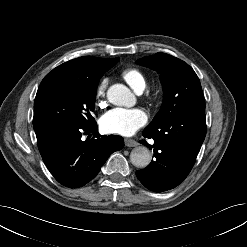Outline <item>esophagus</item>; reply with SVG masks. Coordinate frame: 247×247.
<instances>
[{
  "instance_id": "obj_1",
  "label": "esophagus",
  "mask_w": 247,
  "mask_h": 247,
  "mask_svg": "<svg viewBox=\"0 0 247 247\" xmlns=\"http://www.w3.org/2000/svg\"><path fill=\"white\" fill-rule=\"evenodd\" d=\"M124 141L127 147H136L138 145V142L131 138H125Z\"/></svg>"
}]
</instances>
